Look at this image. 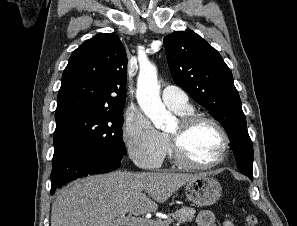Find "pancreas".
I'll list each match as a JSON object with an SVG mask.
<instances>
[{
	"mask_svg": "<svg viewBox=\"0 0 297 226\" xmlns=\"http://www.w3.org/2000/svg\"><path fill=\"white\" fill-rule=\"evenodd\" d=\"M196 210L191 207H182L172 214V218L167 220L157 219L150 226H169L172 222L178 224L191 222L195 217Z\"/></svg>",
	"mask_w": 297,
	"mask_h": 226,
	"instance_id": "cf45deb5",
	"label": "pancreas"
}]
</instances>
